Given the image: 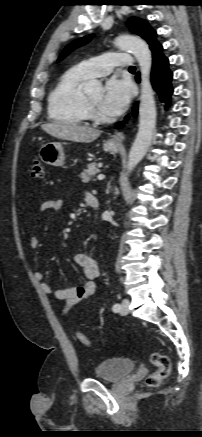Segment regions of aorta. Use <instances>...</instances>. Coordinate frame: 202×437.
<instances>
[{"mask_svg": "<svg viewBox=\"0 0 202 437\" xmlns=\"http://www.w3.org/2000/svg\"><path fill=\"white\" fill-rule=\"evenodd\" d=\"M115 45L135 56L141 72L139 128L128 156L127 171L130 173L145 156L151 144L156 124L154 91L150 82L152 55L147 43L137 36L120 35L115 39ZM102 89V83L97 80H91L84 84V91L88 94L100 93Z\"/></svg>", "mask_w": 202, "mask_h": 437, "instance_id": "1", "label": "aorta"}]
</instances>
